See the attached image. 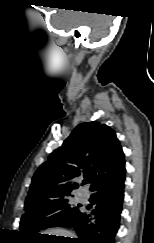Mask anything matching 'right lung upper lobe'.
<instances>
[{"instance_id": "obj_1", "label": "right lung upper lobe", "mask_w": 154, "mask_h": 243, "mask_svg": "<svg viewBox=\"0 0 154 243\" xmlns=\"http://www.w3.org/2000/svg\"><path fill=\"white\" fill-rule=\"evenodd\" d=\"M124 165V153L113 129L97 121L79 124L35 172L25 208L70 195L78 188L73 179L82 173L92 187Z\"/></svg>"}]
</instances>
